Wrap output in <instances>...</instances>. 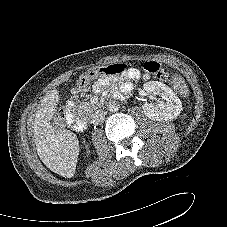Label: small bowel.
Returning a JSON list of instances; mask_svg holds the SVG:
<instances>
[{
	"label": "small bowel",
	"instance_id": "obj_1",
	"mask_svg": "<svg viewBox=\"0 0 227 227\" xmlns=\"http://www.w3.org/2000/svg\"><path fill=\"white\" fill-rule=\"evenodd\" d=\"M127 76L129 78L137 79V78L140 77V73L137 70H135V69H131V70H129ZM104 85H105V82L104 81H99V82H97L95 84L94 88L96 90H101L104 87Z\"/></svg>",
	"mask_w": 227,
	"mask_h": 227
}]
</instances>
